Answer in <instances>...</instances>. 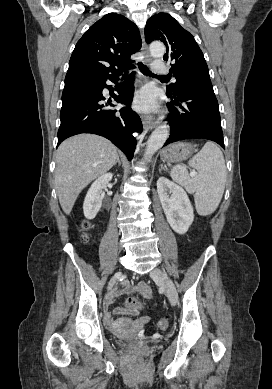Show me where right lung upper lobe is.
Here are the masks:
<instances>
[{"instance_id":"obj_1","label":"right lung upper lobe","mask_w":272,"mask_h":389,"mask_svg":"<svg viewBox=\"0 0 272 389\" xmlns=\"http://www.w3.org/2000/svg\"><path fill=\"white\" fill-rule=\"evenodd\" d=\"M137 26L126 17L109 13L93 24L77 42L69 61L65 86L94 83L122 73L141 48Z\"/></svg>"}]
</instances>
